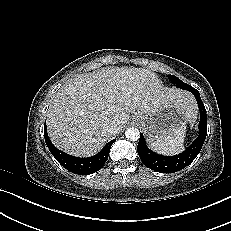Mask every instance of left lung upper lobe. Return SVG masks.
Segmentation results:
<instances>
[{"instance_id": "5c2ea615", "label": "left lung upper lobe", "mask_w": 231, "mask_h": 231, "mask_svg": "<svg viewBox=\"0 0 231 231\" xmlns=\"http://www.w3.org/2000/svg\"><path fill=\"white\" fill-rule=\"evenodd\" d=\"M168 77L173 84H175L177 87H179L181 89L188 90L191 87L190 85L184 83L183 81H181L179 78H177L174 75H168Z\"/></svg>"}]
</instances>
